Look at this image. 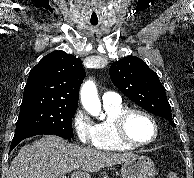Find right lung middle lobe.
Listing matches in <instances>:
<instances>
[{
  "label": "right lung middle lobe",
  "instance_id": "dd1d6c3e",
  "mask_svg": "<svg viewBox=\"0 0 194 178\" xmlns=\"http://www.w3.org/2000/svg\"><path fill=\"white\" fill-rule=\"evenodd\" d=\"M77 105L50 98L23 100L16 123V132L44 130L60 137L72 138V118Z\"/></svg>",
  "mask_w": 194,
  "mask_h": 178
}]
</instances>
